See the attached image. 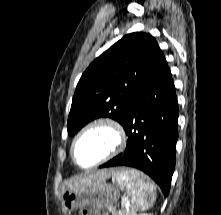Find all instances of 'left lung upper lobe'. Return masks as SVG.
I'll return each instance as SVG.
<instances>
[{"mask_svg": "<svg viewBox=\"0 0 221 215\" xmlns=\"http://www.w3.org/2000/svg\"><path fill=\"white\" fill-rule=\"evenodd\" d=\"M161 49L149 33L125 35L96 58L82 74L68 117V135H75L98 117L122 123L125 108L137 92Z\"/></svg>", "mask_w": 221, "mask_h": 215, "instance_id": "left-lung-upper-lobe-1", "label": "left lung upper lobe"}]
</instances>
